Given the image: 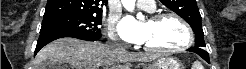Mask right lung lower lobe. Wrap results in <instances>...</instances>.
<instances>
[{"label": "right lung lower lobe", "mask_w": 246, "mask_h": 69, "mask_svg": "<svg viewBox=\"0 0 246 69\" xmlns=\"http://www.w3.org/2000/svg\"><path fill=\"white\" fill-rule=\"evenodd\" d=\"M63 37H73V38L82 39V40H86V41H94V40L100 39L102 37V35H98V36H80V35H76V34H73V33H47V34H40L39 39L37 41L36 49H35V55L42 47H44L49 42H51L53 40H56L58 38H63Z\"/></svg>", "instance_id": "right-lung-lower-lobe-1"}]
</instances>
